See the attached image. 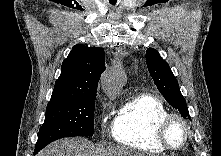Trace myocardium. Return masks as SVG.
I'll return each instance as SVG.
<instances>
[{
    "label": "myocardium",
    "instance_id": "obj_1",
    "mask_svg": "<svg viewBox=\"0 0 221 156\" xmlns=\"http://www.w3.org/2000/svg\"><path fill=\"white\" fill-rule=\"evenodd\" d=\"M174 120L179 121L183 128H184V133H185V137H184V141L182 143L181 146L179 147H174L172 146L168 139H167V129L168 126L170 125V123ZM156 136L158 141L160 142V144L167 150L170 151H179L182 150L188 143L189 141V137H190V128H189V124L186 121L185 118H183L181 115L177 114V113H167L158 123L157 125V130H156Z\"/></svg>",
    "mask_w": 221,
    "mask_h": 156
}]
</instances>
